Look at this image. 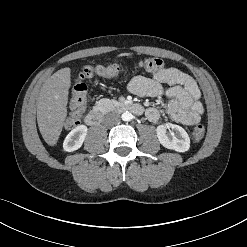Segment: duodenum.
<instances>
[{"label":"duodenum","instance_id":"obj_1","mask_svg":"<svg viewBox=\"0 0 247 247\" xmlns=\"http://www.w3.org/2000/svg\"><path fill=\"white\" fill-rule=\"evenodd\" d=\"M120 109L123 111H130L134 114L141 115L143 113V107L136 103H126L120 105ZM102 113L99 110H93L85 116V123L90 126H96L102 121Z\"/></svg>","mask_w":247,"mask_h":247}]
</instances>
